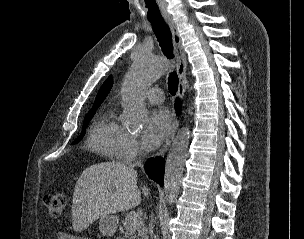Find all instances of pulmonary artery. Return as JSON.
I'll list each match as a JSON object with an SVG mask.
<instances>
[{
  "label": "pulmonary artery",
  "mask_w": 304,
  "mask_h": 239,
  "mask_svg": "<svg viewBox=\"0 0 304 239\" xmlns=\"http://www.w3.org/2000/svg\"><path fill=\"white\" fill-rule=\"evenodd\" d=\"M144 97L151 104H161L164 101L163 91L159 88H151L147 90Z\"/></svg>",
  "instance_id": "e3ab8cb5"
}]
</instances>
